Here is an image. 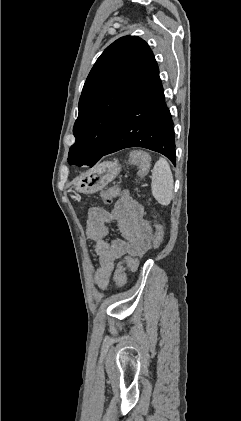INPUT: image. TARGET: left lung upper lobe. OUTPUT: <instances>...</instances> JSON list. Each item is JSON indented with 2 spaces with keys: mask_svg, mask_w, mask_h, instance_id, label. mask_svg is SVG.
Wrapping results in <instances>:
<instances>
[{
  "mask_svg": "<svg viewBox=\"0 0 241 421\" xmlns=\"http://www.w3.org/2000/svg\"><path fill=\"white\" fill-rule=\"evenodd\" d=\"M153 53L137 36H124L100 55L79 100L76 138L68 163L99 160L111 144L132 94Z\"/></svg>",
  "mask_w": 241,
  "mask_h": 421,
  "instance_id": "5c2ea615",
  "label": "left lung upper lobe"
}]
</instances>
